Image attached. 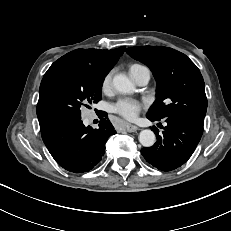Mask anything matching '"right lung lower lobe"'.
I'll list each match as a JSON object with an SVG mask.
<instances>
[{
    "label": "right lung lower lobe",
    "instance_id": "obj_1",
    "mask_svg": "<svg viewBox=\"0 0 231 231\" xmlns=\"http://www.w3.org/2000/svg\"><path fill=\"white\" fill-rule=\"evenodd\" d=\"M99 129L85 127L81 119L58 123L41 132L54 160L64 169L83 173L92 169L105 153V143L116 131L101 112Z\"/></svg>",
    "mask_w": 231,
    "mask_h": 231
}]
</instances>
